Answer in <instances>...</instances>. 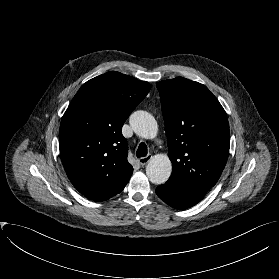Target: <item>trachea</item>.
I'll list each match as a JSON object with an SVG mask.
<instances>
[{
	"mask_svg": "<svg viewBox=\"0 0 279 279\" xmlns=\"http://www.w3.org/2000/svg\"><path fill=\"white\" fill-rule=\"evenodd\" d=\"M148 149L147 145L144 142H141L137 148L136 156L145 157L147 155Z\"/></svg>",
	"mask_w": 279,
	"mask_h": 279,
	"instance_id": "1",
	"label": "trachea"
}]
</instances>
